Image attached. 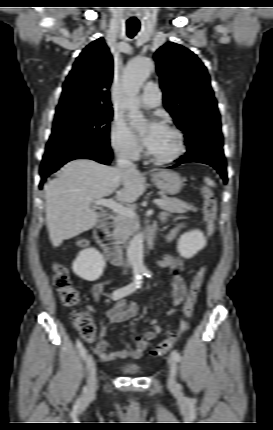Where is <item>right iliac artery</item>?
<instances>
[{"mask_svg": "<svg viewBox=\"0 0 273 430\" xmlns=\"http://www.w3.org/2000/svg\"><path fill=\"white\" fill-rule=\"evenodd\" d=\"M142 275H144V274L136 273L134 275L133 282H131L130 284H128L124 287L118 288L115 291H113V293L111 295L112 300L116 301L122 297L130 295L136 289H138L142 283ZM76 347L79 350L81 356L85 359L87 351H86L85 347L83 346V344L79 340H77V342H76Z\"/></svg>", "mask_w": 273, "mask_h": 430, "instance_id": "right-iliac-artery-1", "label": "right iliac artery"}]
</instances>
